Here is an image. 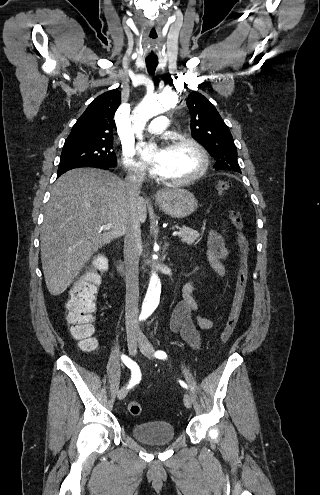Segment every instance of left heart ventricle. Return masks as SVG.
<instances>
[{
    "mask_svg": "<svg viewBox=\"0 0 320 495\" xmlns=\"http://www.w3.org/2000/svg\"><path fill=\"white\" fill-rule=\"evenodd\" d=\"M167 167L163 176L172 180L186 178L199 167L197 153L186 145L167 148Z\"/></svg>",
    "mask_w": 320,
    "mask_h": 495,
    "instance_id": "left-heart-ventricle-1",
    "label": "left heart ventricle"
}]
</instances>
